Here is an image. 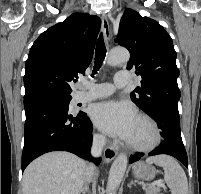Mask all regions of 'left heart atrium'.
<instances>
[{
    "mask_svg": "<svg viewBox=\"0 0 201 194\" xmlns=\"http://www.w3.org/2000/svg\"><path fill=\"white\" fill-rule=\"evenodd\" d=\"M91 117L103 132L129 141L137 114L134 107L126 101L109 100L98 103L91 110Z\"/></svg>",
    "mask_w": 201,
    "mask_h": 194,
    "instance_id": "left-heart-atrium-1",
    "label": "left heart atrium"
}]
</instances>
